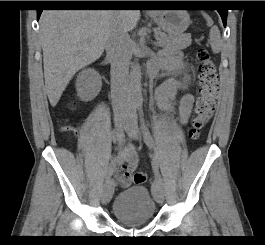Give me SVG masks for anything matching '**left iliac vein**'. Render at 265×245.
<instances>
[{"label": "left iliac vein", "instance_id": "1", "mask_svg": "<svg viewBox=\"0 0 265 245\" xmlns=\"http://www.w3.org/2000/svg\"><path fill=\"white\" fill-rule=\"evenodd\" d=\"M126 133L129 138L137 140L139 138V130L136 118L130 119L126 124ZM155 201L159 204L164 201V192L161 186L156 185L155 189L152 191Z\"/></svg>", "mask_w": 265, "mask_h": 245}]
</instances>
